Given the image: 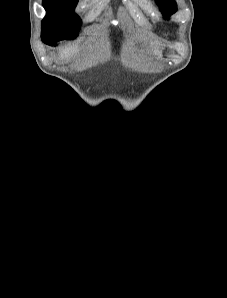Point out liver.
I'll use <instances>...</instances> for the list:
<instances>
[{
  "label": "liver",
  "mask_w": 227,
  "mask_h": 298,
  "mask_svg": "<svg viewBox=\"0 0 227 298\" xmlns=\"http://www.w3.org/2000/svg\"><path fill=\"white\" fill-rule=\"evenodd\" d=\"M77 53H79V48L77 46L67 47L60 51V58L69 59L72 56L77 55Z\"/></svg>",
  "instance_id": "liver-1"
}]
</instances>
